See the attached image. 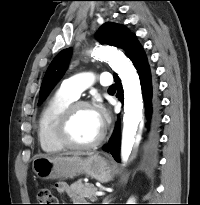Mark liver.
I'll return each instance as SVG.
<instances>
[{"label": "liver", "instance_id": "1", "mask_svg": "<svg viewBox=\"0 0 200 205\" xmlns=\"http://www.w3.org/2000/svg\"><path fill=\"white\" fill-rule=\"evenodd\" d=\"M66 154H74V155H82L83 153H78V152H76V153H66ZM89 155H91V154H89Z\"/></svg>", "mask_w": 200, "mask_h": 205}]
</instances>
